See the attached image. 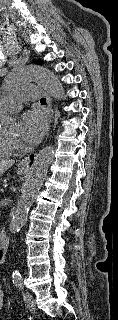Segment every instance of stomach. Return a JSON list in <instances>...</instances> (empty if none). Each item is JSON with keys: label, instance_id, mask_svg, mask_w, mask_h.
I'll list each match as a JSON object with an SVG mask.
<instances>
[{"label": "stomach", "instance_id": "obj_1", "mask_svg": "<svg viewBox=\"0 0 118 320\" xmlns=\"http://www.w3.org/2000/svg\"><path fill=\"white\" fill-rule=\"evenodd\" d=\"M20 172H23V170H22V169H20Z\"/></svg>", "mask_w": 118, "mask_h": 320}]
</instances>
